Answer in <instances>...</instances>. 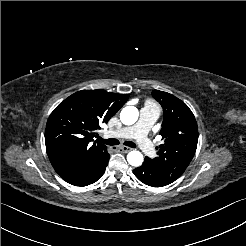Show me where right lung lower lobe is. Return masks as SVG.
Listing matches in <instances>:
<instances>
[{
	"label": "right lung lower lobe",
	"mask_w": 246,
	"mask_h": 246,
	"mask_svg": "<svg viewBox=\"0 0 246 246\" xmlns=\"http://www.w3.org/2000/svg\"><path fill=\"white\" fill-rule=\"evenodd\" d=\"M108 161L109 154L105 150L93 161L61 163L53 167L68 183L75 186H87L96 182L104 174Z\"/></svg>",
	"instance_id": "98d812e1"
}]
</instances>
